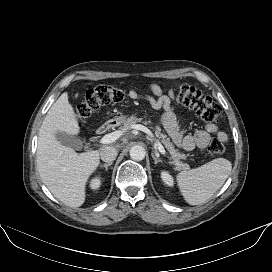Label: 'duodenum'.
Wrapping results in <instances>:
<instances>
[{"mask_svg": "<svg viewBox=\"0 0 272 272\" xmlns=\"http://www.w3.org/2000/svg\"><path fill=\"white\" fill-rule=\"evenodd\" d=\"M114 126V122L109 121L103 123L97 130L98 134L102 135L109 131Z\"/></svg>", "mask_w": 272, "mask_h": 272, "instance_id": "duodenum-1", "label": "duodenum"}]
</instances>
